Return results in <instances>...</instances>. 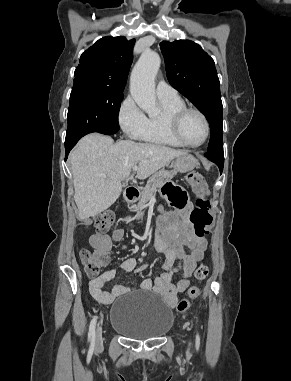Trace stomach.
<instances>
[{
  "mask_svg": "<svg viewBox=\"0 0 291 381\" xmlns=\"http://www.w3.org/2000/svg\"><path fill=\"white\" fill-rule=\"evenodd\" d=\"M197 160L192 155L186 153L178 156L172 162L173 168L176 172L186 173L192 171L196 166Z\"/></svg>",
  "mask_w": 291,
  "mask_h": 381,
  "instance_id": "0dacf381",
  "label": "stomach"
}]
</instances>
